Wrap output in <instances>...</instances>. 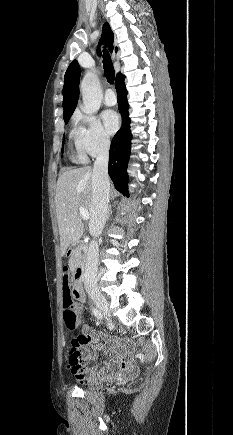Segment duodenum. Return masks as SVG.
I'll return each instance as SVG.
<instances>
[{
    "label": "duodenum",
    "mask_w": 233,
    "mask_h": 435,
    "mask_svg": "<svg viewBox=\"0 0 233 435\" xmlns=\"http://www.w3.org/2000/svg\"><path fill=\"white\" fill-rule=\"evenodd\" d=\"M87 249V246L83 242H79L76 246H71L67 249L64 257L66 260H70L75 251H84ZM84 268L78 267L74 271V285L72 287L71 293L73 297L78 301L85 300V293L83 288V277H84Z\"/></svg>",
    "instance_id": "410a0bca"
}]
</instances>
